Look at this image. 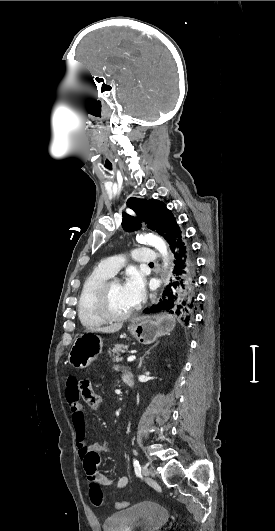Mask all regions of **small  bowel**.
<instances>
[{
    "label": "small bowel",
    "instance_id": "obj_1",
    "mask_svg": "<svg viewBox=\"0 0 275 531\" xmlns=\"http://www.w3.org/2000/svg\"><path fill=\"white\" fill-rule=\"evenodd\" d=\"M73 374V371H70ZM72 382L78 381L77 375L71 376ZM66 399L71 411V424L78 440V456L83 464L85 474L93 477L100 486H107L111 484V479L104 474L98 472L101 454L112 450V446L106 442H95L86 444V417L82 405L79 402V383H66L65 385ZM129 480L127 477H121L117 481L118 488L127 486Z\"/></svg>",
    "mask_w": 275,
    "mask_h": 531
}]
</instances>
